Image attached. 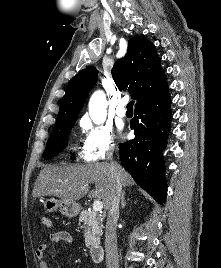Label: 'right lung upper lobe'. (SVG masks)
Here are the masks:
<instances>
[{"label": "right lung upper lobe", "instance_id": "obj_1", "mask_svg": "<svg viewBox=\"0 0 221 268\" xmlns=\"http://www.w3.org/2000/svg\"><path fill=\"white\" fill-rule=\"evenodd\" d=\"M160 62L155 46L150 41L133 37L128 41L126 55L113 65L112 76L117 87L119 90L128 89L136 100V106L168 90ZM97 78L95 67L83 69L73 78L62 98L55 124L77 118Z\"/></svg>", "mask_w": 221, "mask_h": 268}]
</instances>
